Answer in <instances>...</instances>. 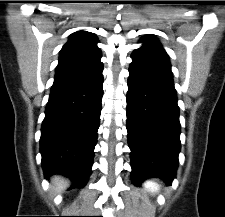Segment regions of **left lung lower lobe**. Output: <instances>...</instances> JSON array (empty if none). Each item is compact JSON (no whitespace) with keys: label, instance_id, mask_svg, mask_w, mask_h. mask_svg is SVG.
<instances>
[{"label":"left lung lower lobe","instance_id":"0a47b994","mask_svg":"<svg viewBox=\"0 0 225 217\" xmlns=\"http://www.w3.org/2000/svg\"><path fill=\"white\" fill-rule=\"evenodd\" d=\"M127 131L132 181L160 177L171 184L180 152V122L172 72L130 65Z\"/></svg>","mask_w":225,"mask_h":217}]
</instances>
